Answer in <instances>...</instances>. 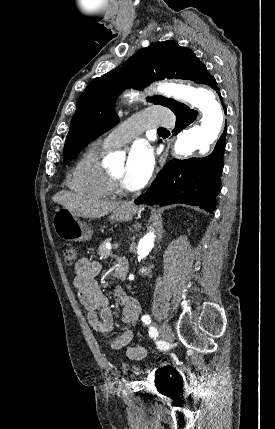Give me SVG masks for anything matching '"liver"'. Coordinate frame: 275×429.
<instances>
[{
  "instance_id": "1",
  "label": "liver",
  "mask_w": 275,
  "mask_h": 429,
  "mask_svg": "<svg viewBox=\"0 0 275 429\" xmlns=\"http://www.w3.org/2000/svg\"><path fill=\"white\" fill-rule=\"evenodd\" d=\"M52 200L70 210L77 217L85 218H101L112 212L120 204L119 202L82 198L66 190L56 193Z\"/></svg>"
}]
</instances>
